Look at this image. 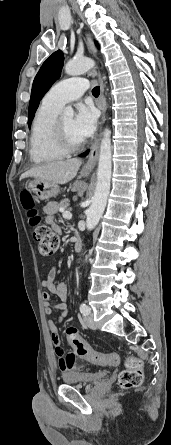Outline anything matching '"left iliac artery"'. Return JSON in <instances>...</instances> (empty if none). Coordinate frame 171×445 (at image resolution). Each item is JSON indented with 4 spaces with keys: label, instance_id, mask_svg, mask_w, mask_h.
<instances>
[{
    "label": "left iliac artery",
    "instance_id": "obj_1",
    "mask_svg": "<svg viewBox=\"0 0 171 445\" xmlns=\"http://www.w3.org/2000/svg\"><path fill=\"white\" fill-rule=\"evenodd\" d=\"M80 312H81L83 315H88L89 312H90V308H89L85 303H82V304L80 305Z\"/></svg>",
    "mask_w": 171,
    "mask_h": 445
}]
</instances>
